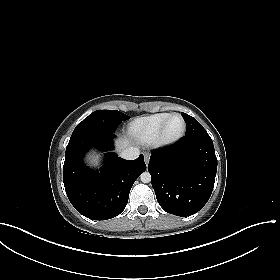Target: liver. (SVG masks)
Returning a JSON list of instances; mask_svg holds the SVG:
<instances>
[{"label": "liver", "instance_id": "liver-1", "mask_svg": "<svg viewBox=\"0 0 280 280\" xmlns=\"http://www.w3.org/2000/svg\"><path fill=\"white\" fill-rule=\"evenodd\" d=\"M130 145V141L127 138H121L118 142H117V147L118 150L120 151L121 149L126 148L127 146Z\"/></svg>", "mask_w": 280, "mask_h": 280}]
</instances>
